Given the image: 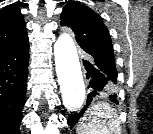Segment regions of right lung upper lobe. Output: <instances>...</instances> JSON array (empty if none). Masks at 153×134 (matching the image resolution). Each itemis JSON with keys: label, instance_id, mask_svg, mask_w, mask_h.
Segmentation results:
<instances>
[{"label": "right lung upper lobe", "instance_id": "1", "mask_svg": "<svg viewBox=\"0 0 153 134\" xmlns=\"http://www.w3.org/2000/svg\"><path fill=\"white\" fill-rule=\"evenodd\" d=\"M28 42L23 15L16 5L0 11V55Z\"/></svg>", "mask_w": 153, "mask_h": 134}]
</instances>
